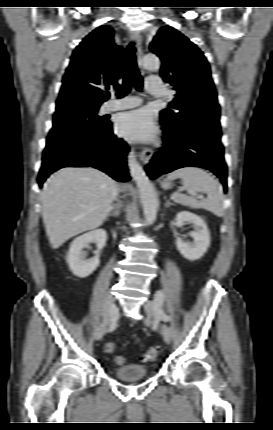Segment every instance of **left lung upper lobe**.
<instances>
[{"mask_svg": "<svg viewBox=\"0 0 273 430\" xmlns=\"http://www.w3.org/2000/svg\"><path fill=\"white\" fill-rule=\"evenodd\" d=\"M150 50L162 60L161 76L176 91L162 117L178 127L189 125L198 115L220 116L217 93L206 58L198 47L171 26L159 29Z\"/></svg>", "mask_w": 273, "mask_h": 430, "instance_id": "1", "label": "left lung upper lobe"}]
</instances>
